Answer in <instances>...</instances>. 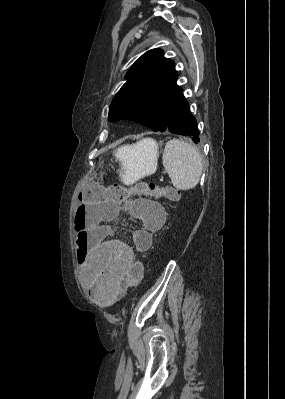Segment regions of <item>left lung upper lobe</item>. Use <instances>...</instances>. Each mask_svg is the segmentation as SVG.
Segmentation results:
<instances>
[{
    "label": "left lung upper lobe",
    "mask_w": 285,
    "mask_h": 399,
    "mask_svg": "<svg viewBox=\"0 0 285 399\" xmlns=\"http://www.w3.org/2000/svg\"><path fill=\"white\" fill-rule=\"evenodd\" d=\"M163 54L161 49L149 50L132 65L111 103L110 121L133 120L154 132L165 131L183 93L176 84L174 62Z\"/></svg>",
    "instance_id": "obj_1"
}]
</instances>
